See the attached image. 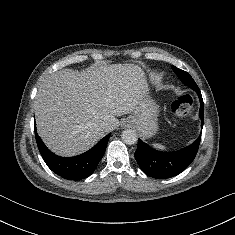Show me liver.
Segmentation results:
<instances>
[{"label":"liver","mask_w":235,"mask_h":235,"mask_svg":"<svg viewBox=\"0 0 235 235\" xmlns=\"http://www.w3.org/2000/svg\"><path fill=\"white\" fill-rule=\"evenodd\" d=\"M146 94L144 72L138 65L60 70L38 89L34 101L38 134L58 155L83 153L119 126L117 116L135 112ZM102 122L108 123L105 129Z\"/></svg>","instance_id":"obj_1"}]
</instances>
